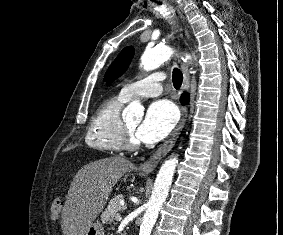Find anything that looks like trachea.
I'll return each instance as SVG.
<instances>
[{
	"mask_svg": "<svg viewBox=\"0 0 283 235\" xmlns=\"http://www.w3.org/2000/svg\"><path fill=\"white\" fill-rule=\"evenodd\" d=\"M172 79H173L174 87L176 89H179L181 87V84H182L183 75H182V72L178 68L173 69Z\"/></svg>",
	"mask_w": 283,
	"mask_h": 235,
	"instance_id": "3493384b",
	"label": "trachea"
}]
</instances>
